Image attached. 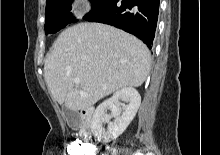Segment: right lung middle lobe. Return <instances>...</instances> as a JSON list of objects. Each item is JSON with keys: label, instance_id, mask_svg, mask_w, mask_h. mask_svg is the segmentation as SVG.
Instances as JSON below:
<instances>
[{"label": "right lung middle lobe", "instance_id": "right-lung-middle-lobe-1", "mask_svg": "<svg viewBox=\"0 0 220 155\" xmlns=\"http://www.w3.org/2000/svg\"><path fill=\"white\" fill-rule=\"evenodd\" d=\"M72 0H53L46 4L45 12V33L53 34L64 28L68 23L75 22L76 19L70 12ZM113 0H92L91 11L84 16V19L93 16L106 7Z\"/></svg>", "mask_w": 220, "mask_h": 155}]
</instances>
